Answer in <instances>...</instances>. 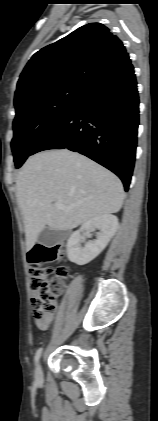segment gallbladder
<instances>
[{
  "instance_id": "1",
  "label": "gallbladder",
  "mask_w": 158,
  "mask_h": 421,
  "mask_svg": "<svg viewBox=\"0 0 158 421\" xmlns=\"http://www.w3.org/2000/svg\"><path fill=\"white\" fill-rule=\"evenodd\" d=\"M67 236V232L63 230H54L46 226L39 234L37 241L45 247H52L62 243Z\"/></svg>"
}]
</instances>
